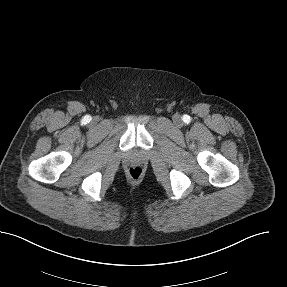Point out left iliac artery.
Segmentation results:
<instances>
[{
  "mask_svg": "<svg viewBox=\"0 0 287 287\" xmlns=\"http://www.w3.org/2000/svg\"><path fill=\"white\" fill-rule=\"evenodd\" d=\"M183 121H184L185 123H189V122H190V117H189L188 115H184V116H183Z\"/></svg>",
  "mask_w": 287,
  "mask_h": 287,
  "instance_id": "obj_1",
  "label": "left iliac artery"
}]
</instances>
